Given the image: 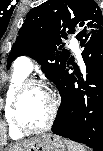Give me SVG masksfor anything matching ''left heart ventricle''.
<instances>
[{
	"instance_id": "b2bd125f",
	"label": "left heart ventricle",
	"mask_w": 103,
	"mask_h": 151,
	"mask_svg": "<svg viewBox=\"0 0 103 151\" xmlns=\"http://www.w3.org/2000/svg\"><path fill=\"white\" fill-rule=\"evenodd\" d=\"M49 115V100L46 93L37 87L29 89L18 104V118L28 128L42 127Z\"/></svg>"
}]
</instances>
